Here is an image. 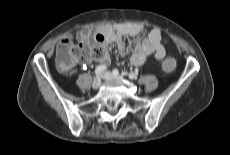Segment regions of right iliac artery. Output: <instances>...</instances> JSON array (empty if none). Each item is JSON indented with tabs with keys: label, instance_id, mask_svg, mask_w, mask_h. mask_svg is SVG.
<instances>
[{
	"label": "right iliac artery",
	"instance_id": "obj_1",
	"mask_svg": "<svg viewBox=\"0 0 230 155\" xmlns=\"http://www.w3.org/2000/svg\"><path fill=\"white\" fill-rule=\"evenodd\" d=\"M106 70V66L105 65H99L98 67H96L95 69V74L97 76L101 75L104 71Z\"/></svg>",
	"mask_w": 230,
	"mask_h": 155
}]
</instances>
